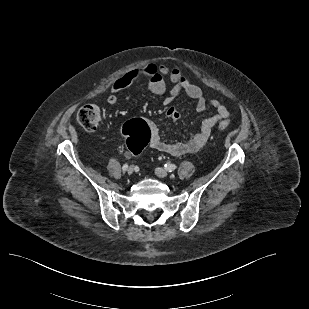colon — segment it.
Wrapping results in <instances>:
<instances>
[{
    "mask_svg": "<svg viewBox=\"0 0 309 309\" xmlns=\"http://www.w3.org/2000/svg\"><path fill=\"white\" fill-rule=\"evenodd\" d=\"M103 110L97 105H85L80 108L77 114V120L80 125L89 132L97 130L103 120ZM229 127L227 120H222L218 124L220 130ZM123 135L126 138L129 152L132 155H138L150 142V130L147 123L142 119H132L126 122L122 128Z\"/></svg>",
    "mask_w": 309,
    "mask_h": 309,
    "instance_id": "5ec220e1",
    "label": "colon"
}]
</instances>
